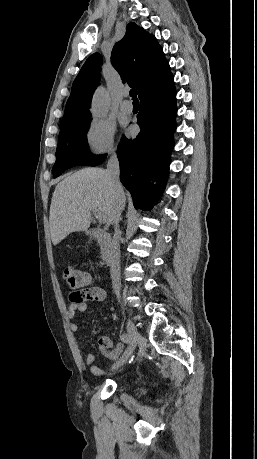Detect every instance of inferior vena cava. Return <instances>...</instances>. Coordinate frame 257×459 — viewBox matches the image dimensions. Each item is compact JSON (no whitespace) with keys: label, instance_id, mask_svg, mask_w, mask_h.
<instances>
[{"label":"inferior vena cava","instance_id":"inferior-vena-cava-1","mask_svg":"<svg viewBox=\"0 0 257 459\" xmlns=\"http://www.w3.org/2000/svg\"><path fill=\"white\" fill-rule=\"evenodd\" d=\"M107 174L109 183L115 194V203L114 211L112 215V222L115 226L114 236L110 246V253L108 257V262L110 266V275L112 279V287L115 291L117 297H120V249H119V239H120V229H119V220L121 212L125 205V196L123 192L122 185L120 183V167L119 161L116 154H113L107 163Z\"/></svg>","mask_w":257,"mask_h":459}]
</instances>
